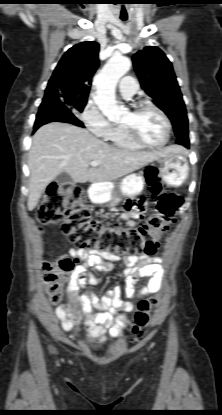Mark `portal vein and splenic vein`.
<instances>
[{
	"instance_id": "18ae733b",
	"label": "portal vein and splenic vein",
	"mask_w": 222,
	"mask_h": 415,
	"mask_svg": "<svg viewBox=\"0 0 222 415\" xmlns=\"http://www.w3.org/2000/svg\"><path fill=\"white\" fill-rule=\"evenodd\" d=\"M100 165V163L99 162H97V161H92L91 163H90V166H92V167H97V166H99Z\"/></svg>"
}]
</instances>
